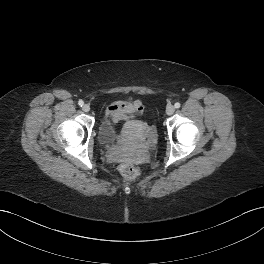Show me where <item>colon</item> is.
<instances>
[{
	"instance_id": "1",
	"label": "colon",
	"mask_w": 264,
	"mask_h": 264,
	"mask_svg": "<svg viewBox=\"0 0 264 264\" xmlns=\"http://www.w3.org/2000/svg\"><path fill=\"white\" fill-rule=\"evenodd\" d=\"M119 172L128 180H134L137 178L139 171L138 169L127 162H123L118 166Z\"/></svg>"
}]
</instances>
